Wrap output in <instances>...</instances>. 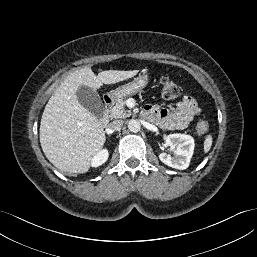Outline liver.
<instances>
[{"label": "liver", "instance_id": "6515ba94", "mask_svg": "<svg viewBox=\"0 0 257 257\" xmlns=\"http://www.w3.org/2000/svg\"><path fill=\"white\" fill-rule=\"evenodd\" d=\"M138 70H106L96 76L90 67L71 73L54 91L40 123V143L46 158L60 171L85 173L105 140L104 126L77 100L80 86L95 91L103 84L132 78Z\"/></svg>", "mask_w": 257, "mask_h": 257}]
</instances>
